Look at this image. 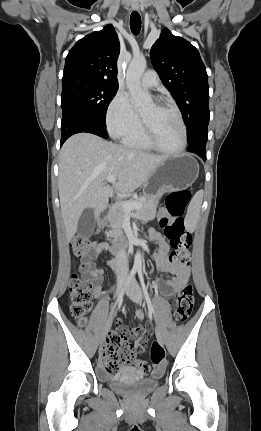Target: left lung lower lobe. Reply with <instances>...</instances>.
Masks as SVG:
<instances>
[{
	"label": "left lung lower lobe",
	"mask_w": 261,
	"mask_h": 431,
	"mask_svg": "<svg viewBox=\"0 0 261 431\" xmlns=\"http://www.w3.org/2000/svg\"><path fill=\"white\" fill-rule=\"evenodd\" d=\"M206 142L207 140L204 139L198 140L190 144L187 150L189 152L198 154L200 157L203 158V160H206Z\"/></svg>",
	"instance_id": "1"
}]
</instances>
